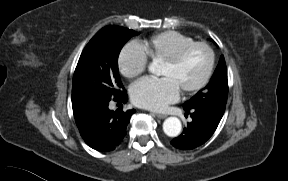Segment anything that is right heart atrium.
I'll use <instances>...</instances> for the list:
<instances>
[{"instance_id": "1", "label": "right heart atrium", "mask_w": 288, "mask_h": 181, "mask_svg": "<svg viewBox=\"0 0 288 181\" xmlns=\"http://www.w3.org/2000/svg\"><path fill=\"white\" fill-rule=\"evenodd\" d=\"M119 72L127 79L140 76L147 67V57L137 44L125 45L117 58Z\"/></svg>"}]
</instances>
